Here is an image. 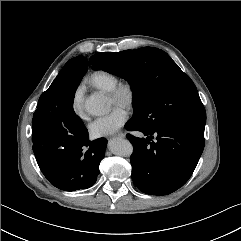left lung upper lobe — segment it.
Wrapping results in <instances>:
<instances>
[{
    "instance_id": "obj_1",
    "label": "left lung upper lobe",
    "mask_w": 241,
    "mask_h": 241,
    "mask_svg": "<svg viewBox=\"0 0 241 241\" xmlns=\"http://www.w3.org/2000/svg\"><path fill=\"white\" fill-rule=\"evenodd\" d=\"M89 63L127 80L135 93L133 118L149 130L169 121L206 123L205 108L192 80L169 55L154 47L97 53Z\"/></svg>"
}]
</instances>
